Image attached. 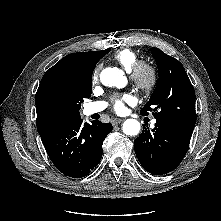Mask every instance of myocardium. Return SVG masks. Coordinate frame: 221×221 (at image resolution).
Wrapping results in <instances>:
<instances>
[{
	"label": "myocardium",
	"mask_w": 221,
	"mask_h": 221,
	"mask_svg": "<svg viewBox=\"0 0 221 221\" xmlns=\"http://www.w3.org/2000/svg\"><path fill=\"white\" fill-rule=\"evenodd\" d=\"M130 78L139 90L149 93L156 88L159 75L153 64L148 61L138 60L130 72Z\"/></svg>",
	"instance_id": "obj_1"
}]
</instances>
